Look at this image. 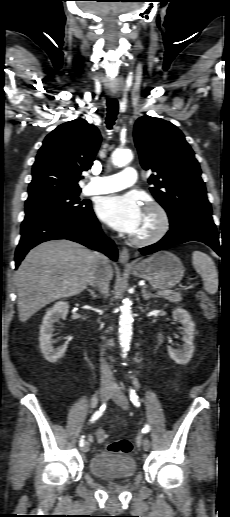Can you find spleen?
<instances>
[{"instance_id": "spleen-1", "label": "spleen", "mask_w": 230, "mask_h": 517, "mask_svg": "<svg viewBox=\"0 0 230 517\" xmlns=\"http://www.w3.org/2000/svg\"><path fill=\"white\" fill-rule=\"evenodd\" d=\"M192 264L203 279L205 291L215 294L218 291V273L214 261L207 254L194 251Z\"/></svg>"}]
</instances>
